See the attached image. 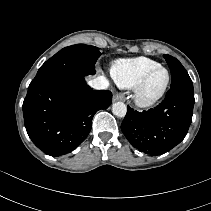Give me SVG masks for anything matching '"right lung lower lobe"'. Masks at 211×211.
<instances>
[{"instance_id": "obj_1", "label": "right lung lower lobe", "mask_w": 211, "mask_h": 211, "mask_svg": "<svg viewBox=\"0 0 211 211\" xmlns=\"http://www.w3.org/2000/svg\"><path fill=\"white\" fill-rule=\"evenodd\" d=\"M111 102L110 91H93L83 76L35 77L23 102L28 136L44 153L65 155L85 140L94 114L107 109Z\"/></svg>"}]
</instances>
